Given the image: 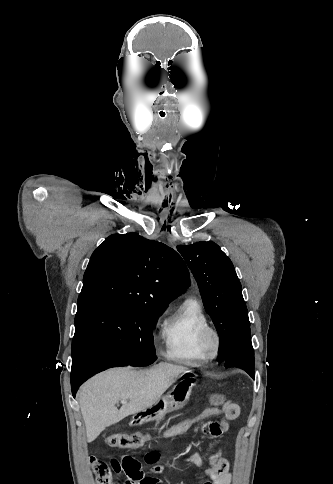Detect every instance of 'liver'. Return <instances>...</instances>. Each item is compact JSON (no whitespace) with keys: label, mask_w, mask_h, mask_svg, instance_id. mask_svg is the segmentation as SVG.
I'll use <instances>...</instances> for the list:
<instances>
[{"label":"liver","mask_w":333,"mask_h":484,"mask_svg":"<svg viewBox=\"0 0 333 484\" xmlns=\"http://www.w3.org/2000/svg\"><path fill=\"white\" fill-rule=\"evenodd\" d=\"M188 368L160 362L149 369L114 368L86 381L79 391V405L89 441L108 426L151 407ZM119 400H129L118 410Z\"/></svg>","instance_id":"liver-1"}]
</instances>
